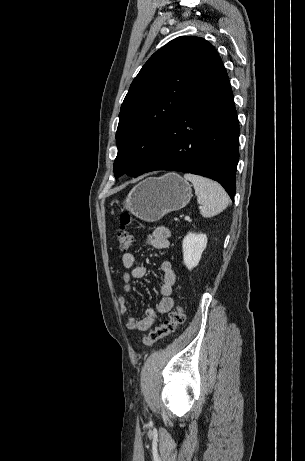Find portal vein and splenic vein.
<instances>
[{
    "label": "portal vein and splenic vein",
    "mask_w": 305,
    "mask_h": 461,
    "mask_svg": "<svg viewBox=\"0 0 305 461\" xmlns=\"http://www.w3.org/2000/svg\"><path fill=\"white\" fill-rule=\"evenodd\" d=\"M189 219H190V217H189V216H186V217H185V220H189Z\"/></svg>",
    "instance_id": "18ae733b"
}]
</instances>
